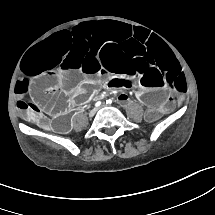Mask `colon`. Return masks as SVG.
Here are the masks:
<instances>
[{"instance_id":"1","label":"colon","mask_w":215,"mask_h":215,"mask_svg":"<svg viewBox=\"0 0 215 215\" xmlns=\"http://www.w3.org/2000/svg\"><path fill=\"white\" fill-rule=\"evenodd\" d=\"M48 101H55V93L51 91H47L44 94V102L41 105L47 109H51V105ZM18 109L28 118L37 117L39 114V107L35 103H29L25 101H20L18 103Z\"/></svg>"}]
</instances>
